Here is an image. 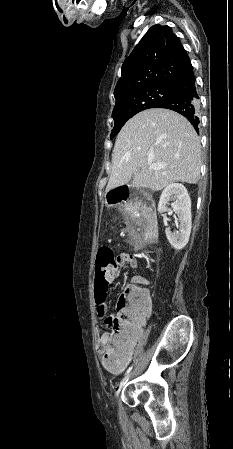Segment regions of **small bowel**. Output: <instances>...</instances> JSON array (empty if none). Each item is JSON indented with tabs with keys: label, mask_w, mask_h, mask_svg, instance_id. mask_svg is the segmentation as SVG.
Returning <instances> with one entry per match:
<instances>
[{
	"label": "small bowel",
	"mask_w": 233,
	"mask_h": 449,
	"mask_svg": "<svg viewBox=\"0 0 233 449\" xmlns=\"http://www.w3.org/2000/svg\"><path fill=\"white\" fill-rule=\"evenodd\" d=\"M137 264H138L137 259L133 255L129 253H121L117 258V265L113 268H110L109 270V280L111 281L115 280L118 277L119 272L123 266H127L129 268L134 269L137 267ZM148 310L149 308L146 310L145 313H147ZM108 312L109 308L106 302L102 306L97 307V315L100 319L109 316ZM141 335H142V328L139 327L134 337L131 338L124 346H122L121 351L117 353L114 347L111 346V342L114 341V339H112V336L108 332H104L97 339V352L100 355L104 356L107 352L113 349V353L115 355L123 358L124 363L122 367L117 369L119 371H122L129 363V361L132 359L136 343L140 339Z\"/></svg>",
	"instance_id": "1"
}]
</instances>
